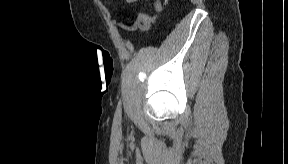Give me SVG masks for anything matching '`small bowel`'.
Wrapping results in <instances>:
<instances>
[{
	"label": "small bowel",
	"mask_w": 288,
	"mask_h": 164,
	"mask_svg": "<svg viewBox=\"0 0 288 164\" xmlns=\"http://www.w3.org/2000/svg\"><path fill=\"white\" fill-rule=\"evenodd\" d=\"M161 10V5L159 3H156L155 7H154V13L151 14V13H141L142 15H149L151 17V22H150V25L154 22L155 18H156V15L157 13ZM149 25V26H150ZM148 26V27H149ZM146 27V28H148Z\"/></svg>",
	"instance_id": "1"
}]
</instances>
